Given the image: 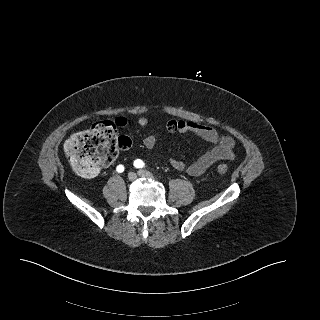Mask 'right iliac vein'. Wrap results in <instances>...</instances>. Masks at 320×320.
Listing matches in <instances>:
<instances>
[{
	"label": "right iliac vein",
	"instance_id": "right-iliac-vein-1",
	"mask_svg": "<svg viewBox=\"0 0 320 320\" xmlns=\"http://www.w3.org/2000/svg\"><path fill=\"white\" fill-rule=\"evenodd\" d=\"M136 178H137L136 173H134V172L128 173V180H129V181H135Z\"/></svg>",
	"mask_w": 320,
	"mask_h": 320
}]
</instances>
